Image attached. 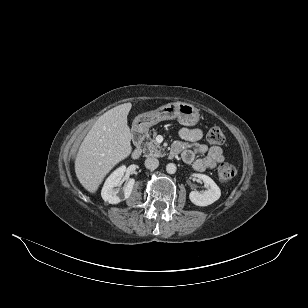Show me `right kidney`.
Returning a JSON list of instances; mask_svg holds the SVG:
<instances>
[{
  "label": "right kidney",
  "mask_w": 308,
  "mask_h": 308,
  "mask_svg": "<svg viewBox=\"0 0 308 308\" xmlns=\"http://www.w3.org/2000/svg\"><path fill=\"white\" fill-rule=\"evenodd\" d=\"M126 171L125 166H121L116 169L105 181L101 191V196L105 202L109 204H118L119 202L126 200L130 197L135 180L130 179L125 183L123 191L116 188L120 185L121 179Z\"/></svg>",
  "instance_id": "obj_1"
}]
</instances>
